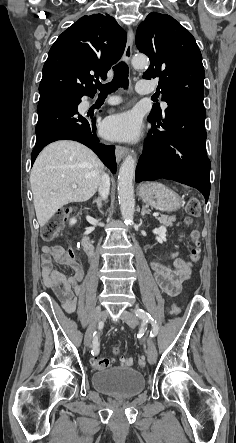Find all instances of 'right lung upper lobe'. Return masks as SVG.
<instances>
[{
	"label": "right lung upper lobe",
	"instance_id": "cb5924a9",
	"mask_svg": "<svg viewBox=\"0 0 236 443\" xmlns=\"http://www.w3.org/2000/svg\"><path fill=\"white\" fill-rule=\"evenodd\" d=\"M126 39V32L108 14L81 17L52 45L43 67L40 94L94 95V75L106 77L122 56Z\"/></svg>",
	"mask_w": 236,
	"mask_h": 443
}]
</instances>
